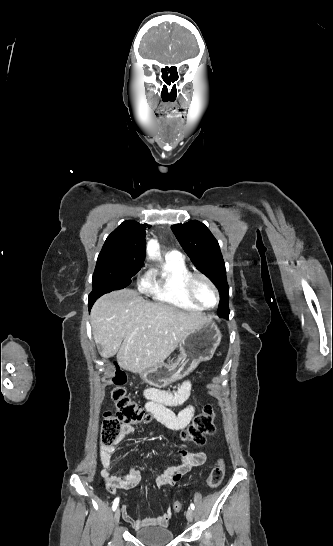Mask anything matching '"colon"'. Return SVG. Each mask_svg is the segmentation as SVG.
Wrapping results in <instances>:
<instances>
[{
    "label": "colon",
    "mask_w": 333,
    "mask_h": 546,
    "mask_svg": "<svg viewBox=\"0 0 333 546\" xmlns=\"http://www.w3.org/2000/svg\"><path fill=\"white\" fill-rule=\"evenodd\" d=\"M116 385L113 390V400L115 403L114 412H106L101 429V442L104 445H111L117 441L121 427L124 424L136 425L150 421V415L144 411L132 398H130L123 387L126 382V374L120 368H116L113 378ZM215 412L210 405H205L198 413L189 427L182 432L181 438L187 442L198 446L205 444L208 436L215 431L214 425ZM225 475V465L220 460L211 470L205 483L209 488L219 486ZM183 508V502L177 500L173 503L174 512H179Z\"/></svg>",
    "instance_id": "5ec220e1"
}]
</instances>
